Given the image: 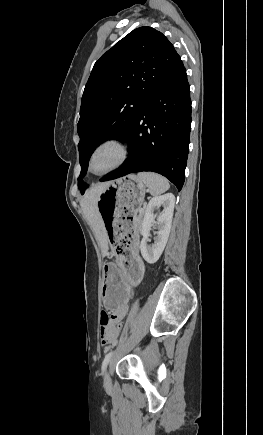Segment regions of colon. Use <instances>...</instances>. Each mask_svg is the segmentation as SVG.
<instances>
[{"instance_id":"5ec220e1","label":"colon","mask_w":263,"mask_h":435,"mask_svg":"<svg viewBox=\"0 0 263 435\" xmlns=\"http://www.w3.org/2000/svg\"><path fill=\"white\" fill-rule=\"evenodd\" d=\"M104 321H111L109 314L105 311H103L101 313V342H102V344L105 341H108L109 343L112 342L110 335H108V333H107V330H104V328H103ZM117 327H118V329H123L124 328L123 322L119 321Z\"/></svg>"}]
</instances>
